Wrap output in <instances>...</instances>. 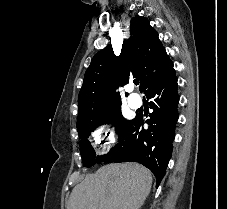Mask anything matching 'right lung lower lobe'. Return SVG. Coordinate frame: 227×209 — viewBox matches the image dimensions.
<instances>
[{
  "label": "right lung lower lobe",
  "instance_id": "right-lung-lower-lobe-1",
  "mask_svg": "<svg viewBox=\"0 0 227 209\" xmlns=\"http://www.w3.org/2000/svg\"><path fill=\"white\" fill-rule=\"evenodd\" d=\"M152 113L148 128L143 127V115L137 114L126 128L119 143L102 161L138 162L149 168L157 186L165 175L171 158L175 127L178 120L177 77L172 62L163 66L145 90Z\"/></svg>",
  "mask_w": 227,
  "mask_h": 209
}]
</instances>
